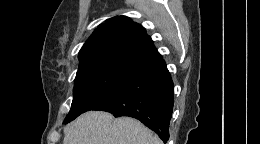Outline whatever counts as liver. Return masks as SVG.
<instances>
[{
	"instance_id": "liver-1",
	"label": "liver",
	"mask_w": 260,
	"mask_h": 144,
	"mask_svg": "<svg viewBox=\"0 0 260 144\" xmlns=\"http://www.w3.org/2000/svg\"><path fill=\"white\" fill-rule=\"evenodd\" d=\"M63 144H162L140 121L89 111L68 126Z\"/></svg>"
}]
</instances>
